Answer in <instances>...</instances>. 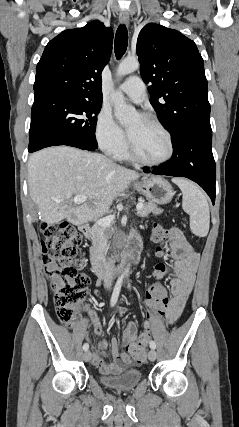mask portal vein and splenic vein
<instances>
[{"label": "portal vein and splenic vein", "instance_id": "1", "mask_svg": "<svg viewBox=\"0 0 239 427\" xmlns=\"http://www.w3.org/2000/svg\"><path fill=\"white\" fill-rule=\"evenodd\" d=\"M86 200V196H82V195H80V196H75L74 198H73V202L74 203H76V204H80V203H82V202H84ZM57 202H60V201H57ZM143 203H138L137 205H136V210L137 211H139V210H141L142 208H143ZM115 219V216L114 215H110V216H107V217H104V218H101V219H99L98 221H97V225L98 226H100V227H103V228H108V227H110V225H111V222L113 221Z\"/></svg>", "mask_w": 239, "mask_h": 427}]
</instances>
